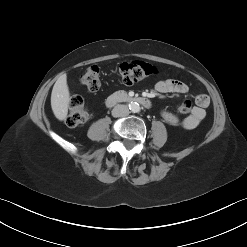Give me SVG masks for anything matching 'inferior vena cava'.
Wrapping results in <instances>:
<instances>
[{"instance_id":"inferior-vena-cava-1","label":"inferior vena cava","mask_w":247,"mask_h":247,"mask_svg":"<svg viewBox=\"0 0 247 247\" xmlns=\"http://www.w3.org/2000/svg\"><path fill=\"white\" fill-rule=\"evenodd\" d=\"M130 113L126 105H117L114 107L112 114L114 117H124L128 116Z\"/></svg>"}]
</instances>
